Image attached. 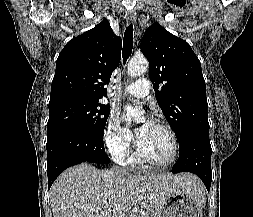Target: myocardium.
<instances>
[{
    "instance_id": "myocardium-1",
    "label": "myocardium",
    "mask_w": 253,
    "mask_h": 217,
    "mask_svg": "<svg viewBox=\"0 0 253 217\" xmlns=\"http://www.w3.org/2000/svg\"><path fill=\"white\" fill-rule=\"evenodd\" d=\"M154 125L165 130L168 133L171 143H172L171 157L169 158L168 161H166L164 163H156V162L149 160L145 156V154L143 153L138 138L136 139V156H137V159L142 164H144L148 167H152V168H156V169H166V168L170 167L171 165H173L175 163V161L177 160L178 153H179L178 139H177L175 131L173 130V128L170 125H168L164 122H157Z\"/></svg>"
}]
</instances>
